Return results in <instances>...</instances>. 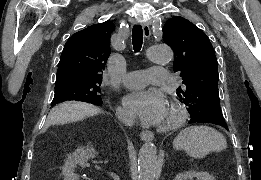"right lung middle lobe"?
I'll use <instances>...</instances> for the list:
<instances>
[{
	"label": "right lung middle lobe",
	"instance_id": "right-lung-middle-lobe-1",
	"mask_svg": "<svg viewBox=\"0 0 261 180\" xmlns=\"http://www.w3.org/2000/svg\"><path fill=\"white\" fill-rule=\"evenodd\" d=\"M101 83L98 81H67L55 84V95L51 105L54 106L67 100L100 105L102 104Z\"/></svg>",
	"mask_w": 261,
	"mask_h": 180
}]
</instances>
